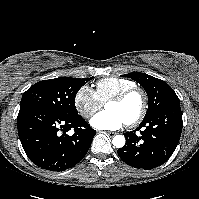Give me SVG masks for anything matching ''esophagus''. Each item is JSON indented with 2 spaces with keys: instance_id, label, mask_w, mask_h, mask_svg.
<instances>
[{
  "instance_id": "esophagus-1",
  "label": "esophagus",
  "mask_w": 199,
  "mask_h": 199,
  "mask_svg": "<svg viewBox=\"0 0 199 199\" xmlns=\"http://www.w3.org/2000/svg\"><path fill=\"white\" fill-rule=\"evenodd\" d=\"M105 134L109 137H113L116 133L115 132H109V131H106Z\"/></svg>"
}]
</instances>
